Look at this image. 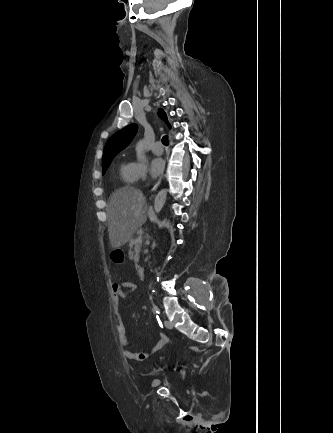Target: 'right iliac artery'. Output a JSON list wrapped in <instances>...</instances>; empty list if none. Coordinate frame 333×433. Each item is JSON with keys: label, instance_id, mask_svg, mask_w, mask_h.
<instances>
[{"label": "right iliac artery", "instance_id": "right-iliac-artery-1", "mask_svg": "<svg viewBox=\"0 0 333 433\" xmlns=\"http://www.w3.org/2000/svg\"><path fill=\"white\" fill-rule=\"evenodd\" d=\"M160 326L163 328L162 324L160 323Z\"/></svg>", "mask_w": 333, "mask_h": 433}]
</instances>
